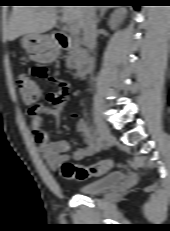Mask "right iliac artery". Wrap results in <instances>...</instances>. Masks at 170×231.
Here are the masks:
<instances>
[{"instance_id": "82829eb1", "label": "right iliac artery", "mask_w": 170, "mask_h": 231, "mask_svg": "<svg viewBox=\"0 0 170 231\" xmlns=\"http://www.w3.org/2000/svg\"><path fill=\"white\" fill-rule=\"evenodd\" d=\"M93 134H94V136L96 137V139H97V141L99 142L100 147H101V143H100L101 140H100L98 131H97V130H94V131H93Z\"/></svg>"}]
</instances>
